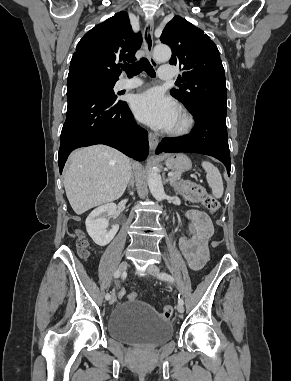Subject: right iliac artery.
<instances>
[{"label":"right iliac artery","instance_id":"right-iliac-artery-1","mask_svg":"<svg viewBox=\"0 0 291 381\" xmlns=\"http://www.w3.org/2000/svg\"><path fill=\"white\" fill-rule=\"evenodd\" d=\"M114 277H115V278H119V277H120V272H119V271H116V272L114 273ZM105 299H106V300H109V299H110V294H109V293H107V294L105 295Z\"/></svg>","mask_w":291,"mask_h":381}]
</instances>
